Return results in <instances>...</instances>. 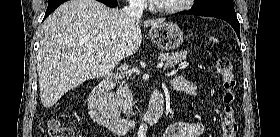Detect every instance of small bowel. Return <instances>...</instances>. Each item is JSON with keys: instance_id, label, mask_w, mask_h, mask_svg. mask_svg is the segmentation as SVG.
I'll return each mask as SVG.
<instances>
[{"instance_id": "obj_1", "label": "small bowel", "mask_w": 280, "mask_h": 137, "mask_svg": "<svg viewBox=\"0 0 280 137\" xmlns=\"http://www.w3.org/2000/svg\"><path fill=\"white\" fill-rule=\"evenodd\" d=\"M172 86L184 93L194 97H199V92L194 84L185 76L174 78ZM203 133V126L198 123H190L184 121L174 122L169 125L162 137H199Z\"/></svg>"}]
</instances>
